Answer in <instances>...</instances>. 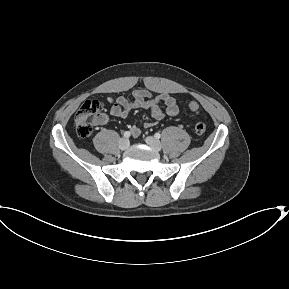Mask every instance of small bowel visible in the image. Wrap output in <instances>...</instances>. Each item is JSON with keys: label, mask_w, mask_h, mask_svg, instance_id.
I'll return each mask as SVG.
<instances>
[{"label": "small bowel", "mask_w": 289, "mask_h": 289, "mask_svg": "<svg viewBox=\"0 0 289 289\" xmlns=\"http://www.w3.org/2000/svg\"><path fill=\"white\" fill-rule=\"evenodd\" d=\"M107 101L111 105L110 114L114 117L126 118L135 109L146 108L151 110L153 121L144 123V127H152L165 116H175L178 113V105L171 95L163 93L153 96L152 93L145 89H137L133 91L132 98L127 99L124 96L117 98L108 97ZM108 117L102 115L98 123L107 122ZM141 129L138 126L131 127V134L135 137L139 136Z\"/></svg>", "instance_id": "1"}]
</instances>
